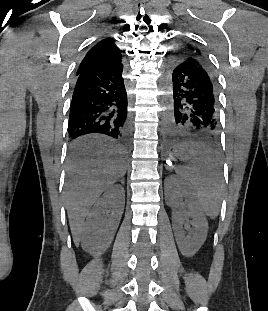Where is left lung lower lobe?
Here are the masks:
<instances>
[{
    "mask_svg": "<svg viewBox=\"0 0 268 311\" xmlns=\"http://www.w3.org/2000/svg\"><path fill=\"white\" fill-rule=\"evenodd\" d=\"M184 54L185 49L179 47L166 63V81L174 101L166 119V139L216 142L220 118L214 70L207 59H184Z\"/></svg>",
    "mask_w": 268,
    "mask_h": 311,
    "instance_id": "left-lung-lower-lobe-1",
    "label": "left lung lower lobe"
}]
</instances>
